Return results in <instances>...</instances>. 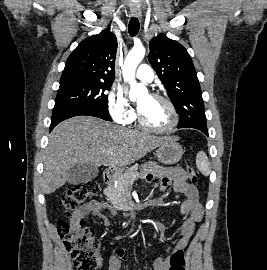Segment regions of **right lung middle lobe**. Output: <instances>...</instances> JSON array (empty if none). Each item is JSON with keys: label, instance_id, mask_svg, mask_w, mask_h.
I'll return each instance as SVG.
<instances>
[{"label": "right lung middle lobe", "instance_id": "right-lung-middle-lobe-1", "mask_svg": "<svg viewBox=\"0 0 267 270\" xmlns=\"http://www.w3.org/2000/svg\"><path fill=\"white\" fill-rule=\"evenodd\" d=\"M113 81L61 79L55 100L56 108L108 110L105 91Z\"/></svg>", "mask_w": 267, "mask_h": 270}]
</instances>
